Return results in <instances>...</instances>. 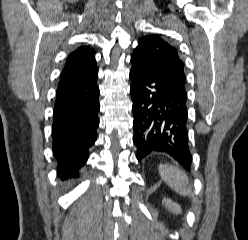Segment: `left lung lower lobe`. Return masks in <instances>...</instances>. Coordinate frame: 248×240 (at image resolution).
Returning a JSON list of instances; mask_svg holds the SVG:
<instances>
[{
	"instance_id": "obj_1",
	"label": "left lung lower lobe",
	"mask_w": 248,
	"mask_h": 240,
	"mask_svg": "<svg viewBox=\"0 0 248 240\" xmlns=\"http://www.w3.org/2000/svg\"><path fill=\"white\" fill-rule=\"evenodd\" d=\"M133 142L140 161L152 152H165L189 170L186 95L131 58Z\"/></svg>"
}]
</instances>
